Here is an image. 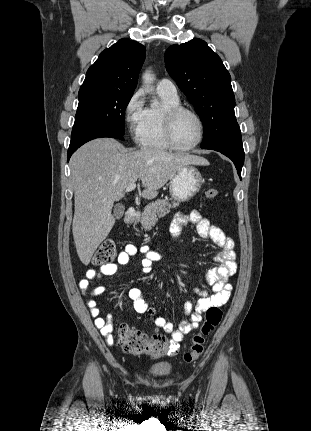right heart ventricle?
I'll return each instance as SVG.
<instances>
[{"mask_svg": "<svg viewBox=\"0 0 311 431\" xmlns=\"http://www.w3.org/2000/svg\"><path fill=\"white\" fill-rule=\"evenodd\" d=\"M162 99V105L159 108H147L144 118L139 126L137 141L145 149L153 150H170L171 146L165 139L163 130V120L165 112L174 106L180 105V99L177 96H170L159 92Z\"/></svg>", "mask_w": 311, "mask_h": 431, "instance_id": "e07e8e85", "label": "right heart ventricle"}]
</instances>
